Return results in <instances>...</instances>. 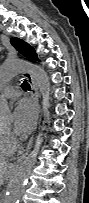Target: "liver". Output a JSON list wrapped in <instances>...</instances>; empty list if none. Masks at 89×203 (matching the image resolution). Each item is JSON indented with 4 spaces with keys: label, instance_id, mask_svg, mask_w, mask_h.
Instances as JSON below:
<instances>
[{
    "label": "liver",
    "instance_id": "1",
    "mask_svg": "<svg viewBox=\"0 0 89 203\" xmlns=\"http://www.w3.org/2000/svg\"><path fill=\"white\" fill-rule=\"evenodd\" d=\"M11 165L8 162L2 161L0 163V182L3 184L5 176L8 174Z\"/></svg>",
    "mask_w": 89,
    "mask_h": 203
}]
</instances>
